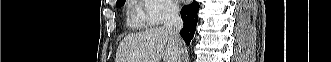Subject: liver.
<instances>
[{"label": "liver", "mask_w": 331, "mask_h": 62, "mask_svg": "<svg viewBox=\"0 0 331 62\" xmlns=\"http://www.w3.org/2000/svg\"><path fill=\"white\" fill-rule=\"evenodd\" d=\"M182 49V43L180 45ZM177 46L164 27L127 35L119 44L115 62H177Z\"/></svg>", "instance_id": "obj_1"}]
</instances>
